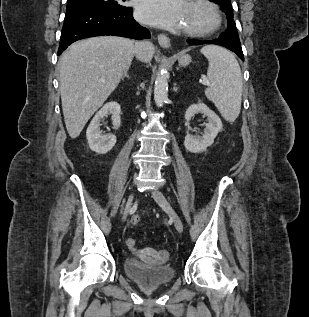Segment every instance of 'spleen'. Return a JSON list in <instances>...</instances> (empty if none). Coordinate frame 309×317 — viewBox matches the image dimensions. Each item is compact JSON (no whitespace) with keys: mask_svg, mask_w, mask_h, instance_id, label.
Masks as SVG:
<instances>
[{"mask_svg":"<svg viewBox=\"0 0 309 317\" xmlns=\"http://www.w3.org/2000/svg\"><path fill=\"white\" fill-rule=\"evenodd\" d=\"M200 51L209 62L205 95L227 121L234 122L240 113L243 91L240 66L234 55L222 47L207 45Z\"/></svg>","mask_w":309,"mask_h":317,"instance_id":"1","label":"spleen"}]
</instances>
